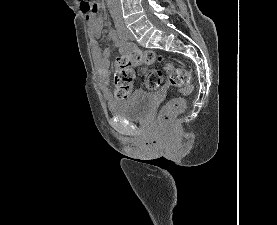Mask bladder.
I'll list each match as a JSON object with an SVG mask.
<instances>
[{"instance_id": "obj_1", "label": "bladder", "mask_w": 277, "mask_h": 225, "mask_svg": "<svg viewBox=\"0 0 277 225\" xmlns=\"http://www.w3.org/2000/svg\"><path fill=\"white\" fill-rule=\"evenodd\" d=\"M153 108V95L143 90H135L128 98L108 104L111 115L127 120H145Z\"/></svg>"}]
</instances>
